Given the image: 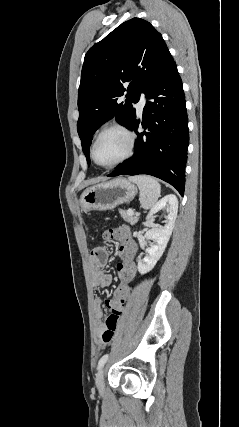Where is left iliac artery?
<instances>
[{
  "mask_svg": "<svg viewBox=\"0 0 239 427\" xmlns=\"http://www.w3.org/2000/svg\"><path fill=\"white\" fill-rule=\"evenodd\" d=\"M108 357H109V355L108 354H105V355H103L101 358H100V360H99V362H98V366H97V369L99 370V369H101L102 367H103V365L106 363V361L108 360Z\"/></svg>",
  "mask_w": 239,
  "mask_h": 427,
  "instance_id": "44dca946",
  "label": "left iliac artery"
}]
</instances>
